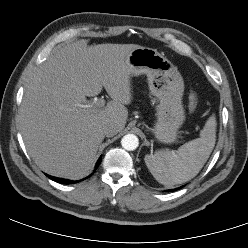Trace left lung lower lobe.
Wrapping results in <instances>:
<instances>
[{"label": "left lung lower lobe", "instance_id": "left-lung-lower-lobe-1", "mask_svg": "<svg viewBox=\"0 0 248 248\" xmlns=\"http://www.w3.org/2000/svg\"><path fill=\"white\" fill-rule=\"evenodd\" d=\"M178 189H180V188H177V189H175V190H178ZM168 191L173 192L174 190H168Z\"/></svg>", "mask_w": 248, "mask_h": 248}]
</instances>
